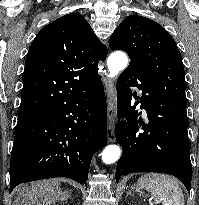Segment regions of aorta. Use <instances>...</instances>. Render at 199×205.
<instances>
[{
    "mask_svg": "<svg viewBox=\"0 0 199 205\" xmlns=\"http://www.w3.org/2000/svg\"><path fill=\"white\" fill-rule=\"evenodd\" d=\"M127 64L128 58L125 53L121 51L112 53L107 60L108 77L113 78L117 76L120 71L126 68ZM101 155L105 164H112L120 158L121 149L118 145H109L103 150Z\"/></svg>",
    "mask_w": 199,
    "mask_h": 205,
    "instance_id": "obj_1",
    "label": "aorta"
}]
</instances>
